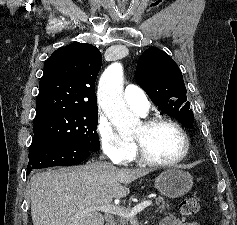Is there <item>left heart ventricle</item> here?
<instances>
[{"label": "left heart ventricle", "instance_id": "b2bd125f", "mask_svg": "<svg viewBox=\"0 0 237 225\" xmlns=\"http://www.w3.org/2000/svg\"><path fill=\"white\" fill-rule=\"evenodd\" d=\"M131 138L140 141L147 155L157 160H173L184 149L182 137L169 125H158L146 130L141 123L131 134Z\"/></svg>", "mask_w": 237, "mask_h": 225}]
</instances>
